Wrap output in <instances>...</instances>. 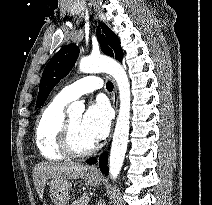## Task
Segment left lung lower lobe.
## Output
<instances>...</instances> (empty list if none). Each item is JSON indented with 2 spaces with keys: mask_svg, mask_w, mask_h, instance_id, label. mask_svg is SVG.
Wrapping results in <instances>:
<instances>
[{
  "mask_svg": "<svg viewBox=\"0 0 212 205\" xmlns=\"http://www.w3.org/2000/svg\"><path fill=\"white\" fill-rule=\"evenodd\" d=\"M107 154L103 153L99 158V167L103 174L108 175V167H107ZM86 162L90 165L96 163V158H90L86 160Z\"/></svg>",
  "mask_w": 212,
  "mask_h": 205,
  "instance_id": "1",
  "label": "left lung lower lobe"
}]
</instances>
